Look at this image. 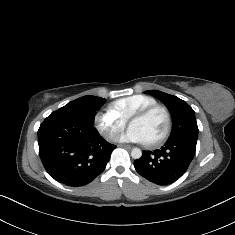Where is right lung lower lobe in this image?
<instances>
[{"mask_svg": "<svg viewBox=\"0 0 235 235\" xmlns=\"http://www.w3.org/2000/svg\"><path fill=\"white\" fill-rule=\"evenodd\" d=\"M38 144L45 170L69 186H83L94 180L116 148L99 135L93 124L54 112L40 125Z\"/></svg>", "mask_w": 235, "mask_h": 235, "instance_id": "1", "label": "right lung lower lobe"}]
</instances>
